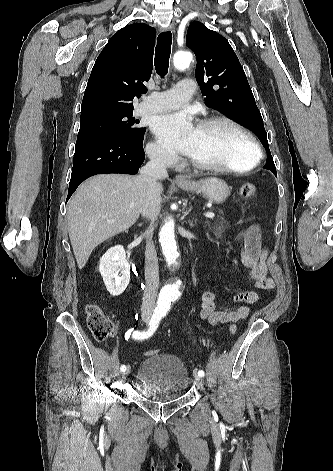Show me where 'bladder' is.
<instances>
[{
	"mask_svg": "<svg viewBox=\"0 0 333 471\" xmlns=\"http://www.w3.org/2000/svg\"><path fill=\"white\" fill-rule=\"evenodd\" d=\"M136 381L145 399L167 403L184 396L190 378L186 365L178 356L158 353L142 361Z\"/></svg>",
	"mask_w": 333,
	"mask_h": 471,
	"instance_id": "bladder-1",
	"label": "bladder"
}]
</instances>
